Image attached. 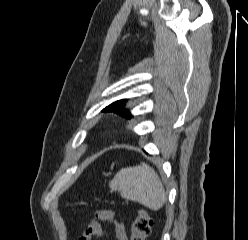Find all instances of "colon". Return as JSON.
Returning a JSON list of instances; mask_svg holds the SVG:
<instances>
[{"label":"colon","instance_id":"1","mask_svg":"<svg viewBox=\"0 0 248 240\" xmlns=\"http://www.w3.org/2000/svg\"><path fill=\"white\" fill-rule=\"evenodd\" d=\"M153 221L149 214L140 210L131 223V237L130 240H147L151 233Z\"/></svg>","mask_w":248,"mask_h":240}]
</instances>
